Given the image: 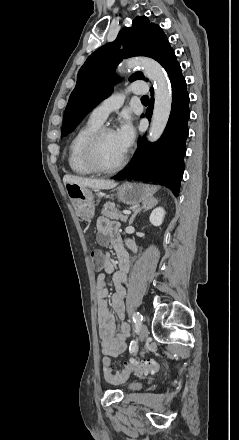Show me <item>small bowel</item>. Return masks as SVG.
I'll return each instance as SVG.
<instances>
[{"instance_id": "small-bowel-1", "label": "small bowel", "mask_w": 239, "mask_h": 440, "mask_svg": "<svg viewBox=\"0 0 239 440\" xmlns=\"http://www.w3.org/2000/svg\"><path fill=\"white\" fill-rule=\"evenodd\" d=\"M97 242L100 245L111 244L118 257L119 270L115 271L110 256L107 254L104 261V270L112 275L115 292L111 296L110 310L107 303V283L105 273H100L96 278L97 317L98 331L103 353L111 357H117L127 349L130 336V326L124 321L125 318V284L128 280L129 257L124 248L118 232V225L106 217L97 220ZM131 250L136 251V246L129 243ZM116 320L120 321L117 330Z\"/></svg>"}]
</instances>
